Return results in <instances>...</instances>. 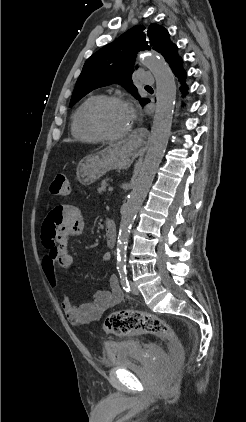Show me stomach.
<instances>
[{"mask_svg": "<svg viewBox=\"0 0 246 422\" xmlns=\"http://www.w3.org/2000/svg\"><path fill=\"white\" fill-rule=\"evenodd\" d=\"M134 157L135 150L128 143L111 144L80 161L76 169L77 180L82 185H91L110 170L128 168Z\"/></svg>", "mask_w": 246, "mask_h": 422, "instance_id": "stomach-1", "label": "stomach"}]
</instances>
